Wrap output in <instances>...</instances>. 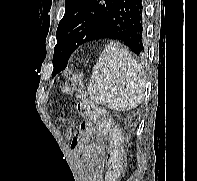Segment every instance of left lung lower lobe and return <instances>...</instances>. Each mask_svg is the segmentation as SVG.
I'll list each match as a JSON object with an SVG mask.
<instances>
[{
    "label": "left lung lower lobe",
    "mask_w": 197,
    "mask_h": 181,
    "mask_svg": "<svg viewBox=\"0 0 197 181\" xmlns=\"http://www.w3.org/2000/svg\"><path fill=\"white\" fill-rule=\"evenodd\" d=\"M144 14L143 0H114L101 20L93 40H118L136 55H144Z\"/></svg>",
    "instance_id": "obj_1"
}]
</instances>
